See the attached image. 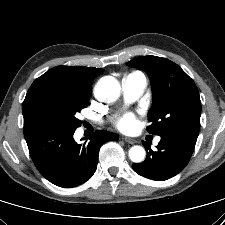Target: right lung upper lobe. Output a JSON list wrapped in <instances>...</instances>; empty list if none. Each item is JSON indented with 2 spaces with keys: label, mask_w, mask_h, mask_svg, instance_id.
I'll return each mask as SVG.
<instances>
[{
  "label": "right lung upper lobe",
  "mask_w": 225,
  "mask_h": 225,
  "mask_svg": "<svg viewBox=\"0 0 225 225\" xmlns=\"http://www.w3.org/2000/svg\"><path fill=\"white\" fill-rule=\"evenodd\" d=\"M102 71L83 66H57L37 78L32 85L51 79H67L91 87L94 78Z\"/></svg>",
  "instance_id": "obj_1"
}]
</instances>
